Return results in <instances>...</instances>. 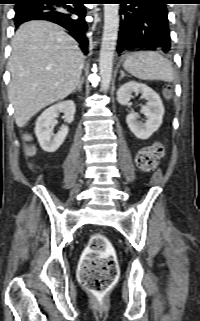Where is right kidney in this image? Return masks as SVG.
<instances>
[{"instance_id":"1","label":"right kidney","mask_w":200,"mask_h":321,"mask_svg":"<svg viewBox=\"0 0 200 321\" xmlns=\"http://www.w3.org/2000/svg\"><path fill=\"white\" fill-rule=\"evenodd\" d=\"M76 112L75 103L72 100L59 102L47 108L37 119L35 134L41 148L49 153L55 152L64 142L69 128L63 125L57 134L52 133V125L59 113H64L65 122L71 123Z\"/></svg>"}]
</instances>
